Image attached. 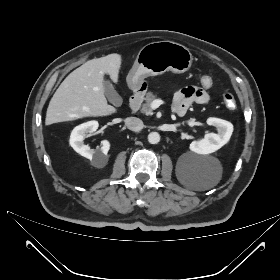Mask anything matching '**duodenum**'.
I'll list each match as a JSON object with an SVG mask.
<instances>
[{
  "label": "duodenum",
  "instance_id": "obj_1",
  "mask_svg": "<svg viewBox=\"0 0 280 280\" xmlns=\"http://www.w3.org/2000/svg\"><path fill=\"white\" fill-rule=\"evenodd\" d=\"M145 94V88L142 85H137L129 102V109L135 113L140 108Z\"/></svg>",
  "mask_w": 280,
  "mask_h": 280
}]
</instances>
